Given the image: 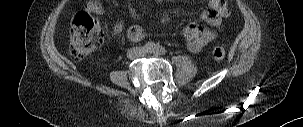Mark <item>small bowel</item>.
Here are the masks:
<instances>
[{
	"label": "small bowel",
	"mask_w": 303,
	"mask_h": 127,
	"mask_svg": "<svg viewBox=\"0 0 303 127\" xmlns=\"http://www.w3.org/2000/svg\"><path fill=\"white\" fill-rule=\"evenodd\" d=\"M162 2L164 0H156ZM87 11L93 14H103L104 8L99 0H90L86 6ZM229 15V9L222 0H209V7L201 13L202 19L209 27H201L196 23H189L184 28V35L187 41V48L192 53L199 52L205 45L211 42L221 28L222 20ZM124 31V24L117 22L112 32L120 35ZM144 37V30L140 25H133L127 30V38L132 42H138Z\"/></svg>",
	"instance_id": "1"
}]
</instances>
